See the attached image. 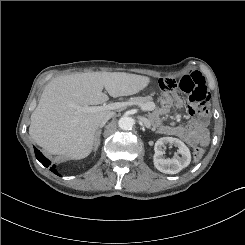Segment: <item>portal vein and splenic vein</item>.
<instances>
[{"label": "portal vein and splenic vein", "mask_w": 245, "mask_h": 245, "mask_svg": "<svg viewBox=\"0 0 245 245\" xmlns=\"http://www.w3.org/2000/svg\"><path fill=\"white\" fill-rule=\"evenodd\" d=\"M129 105L127 102H115V103H110V104H104L102 106H76L77 110L90 113V112H97V111H102V110H116L119 108H123L125 106ZM144 109V107L142 106Z\"/></svg>", "instance_id": "18ae733b"}]
</instances>
